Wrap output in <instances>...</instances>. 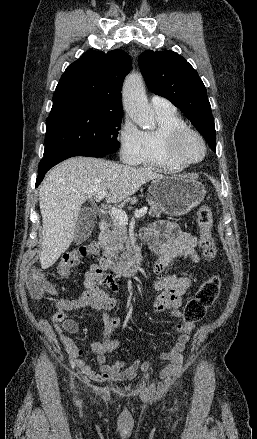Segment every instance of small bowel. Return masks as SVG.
I'll return each instance as SVG.
<instances>
[{
    "label": "small bowel",
    "mask_w": 257,
    "mask_h": 439,
    "mask_svg": "<svg viewBox=\"0 0 257 439\" xmlns=\"http://www.w3.org/2000/svg\"><path fill=\"white\" fill-rule=\"evenodd\" d=\"M140 236L149 248L157 255L153 264V286L158 295L153 302V312L161 314L169 311L174 317H181L180 307L184 295L195 280V276L179 277L175 275L163 276L162 273L169 264L177 257H184L194 264L200 261L195 248L198 244L197 237L189 232L182 231L175 223L158 221L153 225L141 230ZM163 237V240H160ZM85 291L77 299L57 298V311L51 320L59 332L77 333L79 325L69 316V313L77 309L93 308L102 313L105 331L101 342L93 343L89 352L95 358L98 370L90 366L85 358L84 351L79 348L69 337L61 335L64 350L72 361L79 367L81 372L94 381H123L133 380L141 372L150 368V362H142L139 359L129 363L123 359L110 362L108 354L115 352L120 343L114 339V334L120 329L121 321L111 313L116 305V298L111 295L118 289L115 278L106 273L97 265H93L84 275ZM105 286L109 292L102 289ZM56 293V292H55ZM193 325L185 328V333L180 335L167 351L161 353L159 358L167 362L163 369V375H171L180 365L183 352L190 340Z\"/></svg>",
    "instance_id": "c3829d8e"
}]
</instances>
